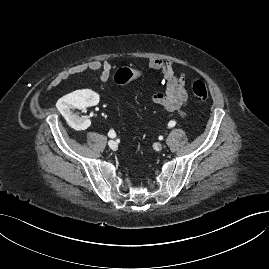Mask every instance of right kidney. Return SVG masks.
Returning a JSON list of instances; mask_svg holds the SVG:
<instances>
[{
  "mask_svg": "<svg viewBox=\"0 0 269 269\" xmlns=\"http://www.w3.org/2000/svg\"><path fill=\"white\" fill-rule=\"evenodd\" d=\"M99 102V95L92 90H76L67 94L57 101V109L66 119L69 125L86 129L91 121L86 118H80L72 112V109H85L86 107L96 105Z\"/></svg>",
  "mask_w": 269,
  "mask_h": 269,
  "instance_id": "ca27d5eb",
  "label": "right kidney"
}]
</instances>
